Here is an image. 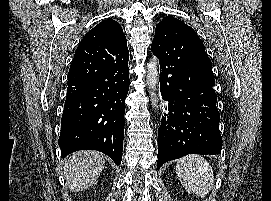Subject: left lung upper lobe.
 I'll return each mask as SVG.
<instances>
[{
  "label": "left lung upper lobe",
  "instance_id": "obj_1",
  "mask_svg": "<svg viewBox=\"0 0 271 201\" xmlns=\"http://www.w3.org/2000/svg\"><path fill=\"white\" fill-rule=\"evenodd\" d=\"M185 29L189 33L192 41V48L196 50L198 65L202 68L205 80L212 86L215 84V79L212 73V63L207 53L205 52L204 44L197 36L195 31L181 20L172 16H166L156 26L155 36L152 42L154 46H161L163 43L174 38L178 33V29Z\"/></svg>",
  "mask_w": 271,
  "mask_h": 201
}]
</instances>
